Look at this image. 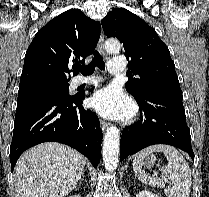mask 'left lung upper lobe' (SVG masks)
<instances>
[{
	"label": "left lung upper lobe",
	"mask_w": 209,
	"mask_h": 197,
	"mask_svg": "<svg viewBox=\"0 0 209 197\" xmlns=\"http://www.w3.org/2000/svg\"><path fill=\"white\" fill-rule=\"evenodd\" d=\"M101 24L108 37L123 43L132 77L126 90L135 99L159 92H181L168 47L145 21L124 8H115Z\"/></svg>",
	"instance_id": "5c2ea615"
}]
</instances>
